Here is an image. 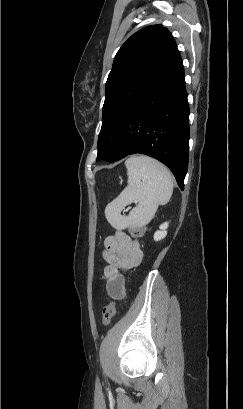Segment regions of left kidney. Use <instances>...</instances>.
<instances>
[{"label":"left kidney","instance_id":"5707ae66","mask_svg":"<svg viewBox=\"0 0 243 409\" xmlns=\"http://www.w3.org/2000/svg\"><path fill=\"white\" fill-rule=\"evenodd\" d=\"M168 225H169L168 222H165V223L160 225V227H159L160 230H158V231H156L154 233V240L155 241H160V240H162L163 238L166 237Z\"/></svg>","mask_w":243,"mask_h":409}]
</instances>
